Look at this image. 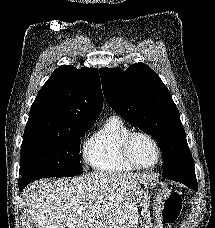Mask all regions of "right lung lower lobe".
<instances>
[{
    "instance_id": "1",
    "label": "right lung lower lobe",
    "mask_w": 215,
    "mask_h": 228,
    "mask_svg": "<svg viewBox=\"0 0 215 228\" xmlns=\"http://www.w3.org/2000/svg\"><path fill=\"white\" fill-rule=\"evenodd\" d=\"M26 185H27V183H25V182H19V190L22 191Z\"/></svg>"
}]
</instances>
